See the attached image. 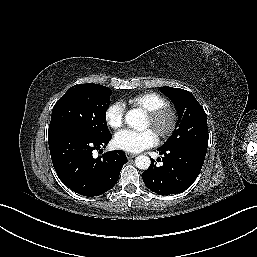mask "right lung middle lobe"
Segmentation results:
<instances>
[{"mask_svg":"<svg viewBox=\"0 0 257 257\" xmlns=\"http://www.w3.org/2000/svg\"><path fill=\"white\" fill-rule=\"evenodd\" d=\"M111 90L99 84L72 86L54 105L49 130L75 128L96 137L110 135L106 110Z\"/></svg>","mask_w":257,"mask_h":257,"instance_id":"dd1d6c3e","label":"right lung middle lobe"}]
</instances>
